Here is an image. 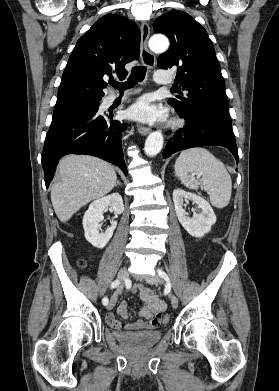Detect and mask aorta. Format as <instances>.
Segmentation results:
<instances>
[{"instance_id": "1", "label": "aorta", "mask_w": 279, "mask_h": 391, "mask_svg": "<svg viewBox=\"0 0 279 391\" xmlns=\"http://www.w3.org/2000/svg\"><path fill=\"white\" fill-rule=\"evenodd\" d=\"M169 47V40L162 35H154L149 40V48L155 53L165 52ZM164 138L161 132L155 131L146 139L144 151L150 156H156L163 147Z\"/></svg>"}]
</instances>
